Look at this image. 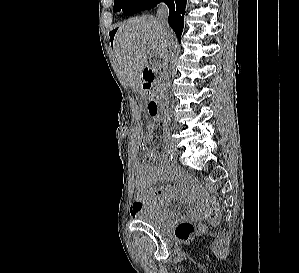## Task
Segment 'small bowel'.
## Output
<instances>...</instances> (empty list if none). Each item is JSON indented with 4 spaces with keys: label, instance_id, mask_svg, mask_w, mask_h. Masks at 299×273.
<instances>
[{
    "label": "small bowel",
    "instance_id": "c3829d8e",
    "mask_svg": "<svg viewBox=\"0 0 299 273\" xmlns=\"http://www.w3.org/2000/svg\"><path fill=\"white\" fill-rule=\"evenodd\" d=\"M155 126L152 122H147L146 133H138L136 141L139 148H145V140L152 141V134ZM148 156L154 163L139 164L137 167L136 187L137 192L131 206V215L136 217L139 212L148 210L160 215L172 214L167 209V204L173 199H180L182 202L191 203L193 206L187 212L188 217H196L199 213V203L197 198L189 193L185 178L174 170V168L164 160L158 158L155 152H149ZM157 181L176 182L175 185H164L152 188ZM179 188L181 190H179Z\"/></svg>",
    "mask_w": 299,
    "mask_h": 273
}]
</instances>
